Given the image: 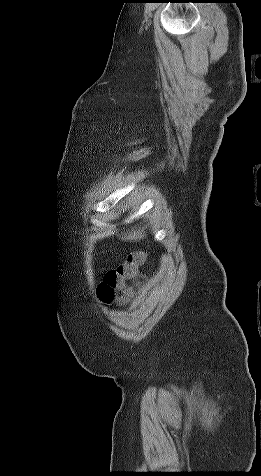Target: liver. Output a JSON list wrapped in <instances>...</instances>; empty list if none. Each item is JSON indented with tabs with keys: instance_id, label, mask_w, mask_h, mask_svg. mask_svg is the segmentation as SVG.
Returning <instances> with one entry per match:
<instances>
[{
	"instance_id": "obj_1",
	"label": "liver",
	"mask_w": 261,
	"mask_h": 476,
	"mask_svg": "<svg viewBox=\"0 0 261 476\" xmlns=\"http://www.w3.org/2000/svg\"><path fill=\"white\" fill-rule=\"evenodd\" d=\"M144 237V234L141 231L131 232L124 237L126 240H140Z\"/></svg>"
}]
</instances>
